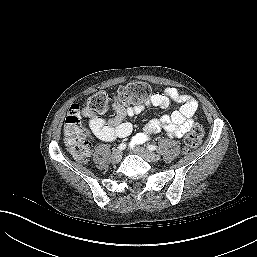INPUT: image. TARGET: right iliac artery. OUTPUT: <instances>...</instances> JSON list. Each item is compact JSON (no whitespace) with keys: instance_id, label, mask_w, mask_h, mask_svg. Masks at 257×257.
Masks as SVG:
<instances>
[{"instance_id":"right-iliac-artery-1","label":"right iliac artery","mask_w":257,"mask_h":257,"mask_svg":"<svg viewBox=\"0 0 257 257\" xmlns=\"http://www.w3.org/2000/svg\"><path fill=\"white\" fill-rule=\"evenodd\" d=\"M126 148V144L125 143H121L119 146H118V149L120 150H124Z\"/></svg>"}]
</instances>
